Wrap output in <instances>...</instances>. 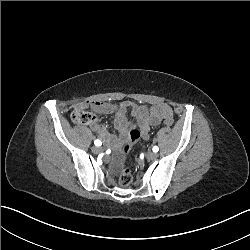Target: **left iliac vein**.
Here are the masks:
<instances>
[{
    "instance_id": "1",
    "label": "left iliac vein",
    "mask_w": 250,
    "mask_h": 250,
    "mask_svg": "<svg viewBox=\"0 0 250 250\" xmlns=\"http://www.w3.org/2000/svg\"><path fill=\"white\" fill-rule=\"evenodd\" d=\"M157 157H158V154L155 153V152H150V153L147 154V159L151 160V161L155 160Z\"/></svg>"
}]
</instances>
